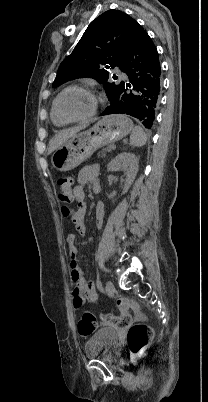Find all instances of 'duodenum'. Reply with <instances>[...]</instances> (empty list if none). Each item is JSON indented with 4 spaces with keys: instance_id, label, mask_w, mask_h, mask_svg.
<instances>
[{
    "instance_id": "410a0bca",
    "label": "duodenum",
    "mask_w": 208,
    "mask_h": 402,
    "mask_svg": "<svg viewBox=\"0 0 208 402\" xmlns=\"http://www.w3.org/2000/svg\"><path fill=\"white\" fill-rule=\"evenodd\" d=\"M99 191H100V190H99L98 188H97V189H95V192H96V193H98Z\"/></svg>"
}]
</instances>
